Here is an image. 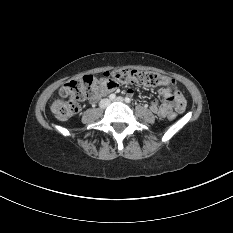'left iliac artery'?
Instances as JSON below:
<instances>
[{"label":"left iliac artery","mask_w":233,"mask_h":233,"mask_svg":"<svg viewBox=\"0 0 233 233\" xmlns=\"http://www.w3.org/2000/svg\"><path fill=\"white\" fill-rule=\"evenodd\" d=\"M125 101H126L127 103H130V102H131V99H130L129 97H126V98H125Z\"/></svg>","instance_id":"obj_1"}]
</instances>
